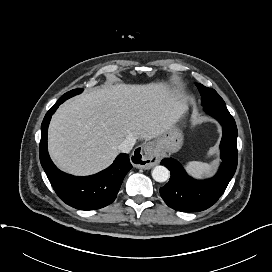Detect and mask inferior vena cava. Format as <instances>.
Listing matches in <instances>:
<instances>
[{
	"label": "inferior vena cava",
	"mask_w": 272,
	"mask_h": 272,
	"mask_svg": "<svg viewBox=\"0 0 272 272\" xmlns=\"http://www.w3.org/2000/svg\"><path fill=\"white\" fill-rule=\"evenodd\" d=\"M135 142L136 139L134 137H127L119 144L118 150L122 153H129L132 150Z\"/></svg>",
	"instance_id": "inferior-vena-cava-1"
}]
</instances>
